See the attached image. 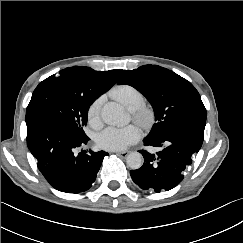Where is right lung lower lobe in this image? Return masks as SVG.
<instances>
[{"label": "right lung lower lobe", "instance_id": "1", "mask_svg": "<svg viewBox=\"0 0 243 243\" xmlns=\"http://www.w3.org/2000/svg\"><path fill=\"white\" fill-rule=\"evenodd\" d=\"M27 144L45 179L66 193L88 190L95 181L105 151L76 153L89 141L59 118L47 113L26 115Z\"/></svg>", "mask_w": 243, "mask_h": 243}]
</instances>
